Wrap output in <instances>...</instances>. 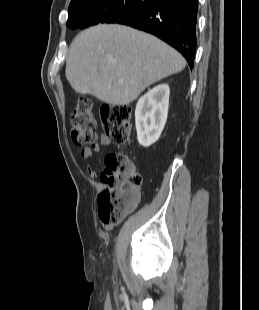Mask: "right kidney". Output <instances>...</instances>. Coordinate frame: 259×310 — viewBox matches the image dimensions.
Here are the masks:
<instances>
[{
	"label": "right kidney",
	"instance_id": "obj_1",
	"mask_svg": "<svg viewBox=\"0 0 259 310\" xmlns=\"http://www.w3.org/2000/svg\"><path fill=\"white\" fill-rule=\"evenodd\" d=\"M169 93V86L161 84L139 99L135 124L140 145L148 147L159 139L167 121Z\"/></svg>",
	"mask_w": 259,
	"mask_h": 310
}]
</instances>
